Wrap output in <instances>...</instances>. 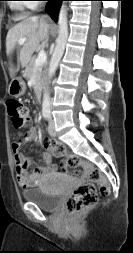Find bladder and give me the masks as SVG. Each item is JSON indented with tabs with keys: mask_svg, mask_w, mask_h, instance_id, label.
<instances>
[{
	"mask_svg": "<svg viewBox=\"0 0 133 253\" xmlns=\"http://www.w3.org/2000/svg\"><path fill=\"white\" fill-rule=\"evenodd\" d=\"M24 200L37 205L44 211L55 210L62 199L59 192L49 191L43 187H30L21 192Z\"/></svg>",
	"mask_w": 133,
	"mask_h": 253,
	"instance_id": "obj_1",
	"label": "bladder"
}]
</instances>
